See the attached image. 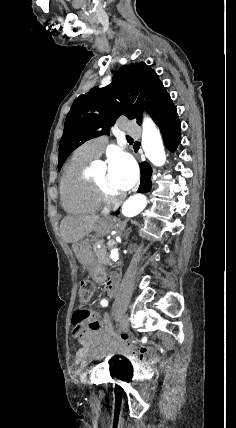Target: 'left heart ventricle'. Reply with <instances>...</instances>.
Returning <instances> with one entry per match:
<instances>
[{
  "label": "left heart ventricle",
  "instance_id": "b2bd125f",
  "mask_svg": "<svg viewBox=\"0 0 236 428\" xmlns=\"http://www.w3.org/2000/svg\"><path fill=\"white\" fill-rule=\"evenodd\" d=\"M94 178L97 181H99L100 183H102L111 195L119 196L122 194V192H120L116 188V186L111 182L110 177H109V171H108L107 167H105L102 171L98 172L94 176Z\"/></svg>",
  "mask_w": 236,
  "mask_h": 428
}]
</instances>
